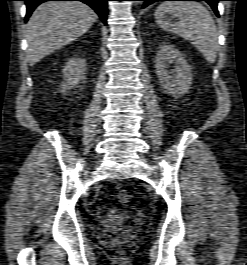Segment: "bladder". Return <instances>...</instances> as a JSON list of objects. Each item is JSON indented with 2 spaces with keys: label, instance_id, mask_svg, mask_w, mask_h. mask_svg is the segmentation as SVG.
<instances>
[{
  "label": "bladder",
  "instance_id": "31cf9c89",
  "mask_svg": "<svg viewBox=\"0 0 247 265\" xmlns=\"http://www.w3.org/2000/svg\"><path fill=\"white\" fill-rule=\"evenodd\" d=\"M124 221V218L119 217L118 215L112 214L109 216L108 223L111 226H117Z\"/></svg>",
  "mask_w": 247,
  "mask_h": 265
}]
</instances>
